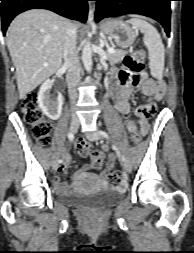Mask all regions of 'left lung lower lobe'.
<instances>
[{"mask_svg":"<svg viewBox=\"0 0 194 253\" xmlns=\"http://www.w3.org/2000/svg\"><path fill=\"white\" fill-rule=\"evenodd\" d=\"M97 1L96 22L107 17L124 14H140L151 17L162 24L170 35L171 0H95Z\"/></svg>","mask_w":194,"mask_h":253,"instance_id":"obj_1","label":"left lung lower lobe"}]
</instances>
